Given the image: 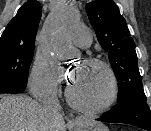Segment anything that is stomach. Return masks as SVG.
Masks as SVG:
<instances>
[{
    "instance_id": "stomach-1",
    "label": "stomach",
    "mask_w": 151,
    "mask_h": 131,
    "mask_svg": "<svg viewBox=\"0 0 151 131\" xmlns=\"http://www.w3.org/2000/svg\"><path fill=\"white\" fill-rule=\"evenodd\" d=\"M75 131H109L107 126L94 120H80L74 124Z\"/></svg>"
}]
</instances>
